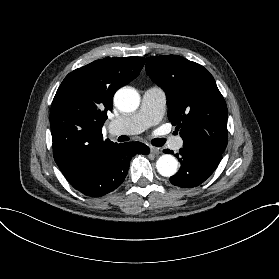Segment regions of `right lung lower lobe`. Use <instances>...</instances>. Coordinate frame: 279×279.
Returning <instances> with one entry per match:
<instances>
[{"label": "right lung lower lobe", "mask_w": 279, "mask_h": 279, "mask_svg": "<svg viewBox=\"0 0 279 279\" xmlns=\"http://www.w3.org/2000/svg\"><path fill=\"white\" fill-rule=\"evenodd\" d=\"M150 149L140 142L117 144L110 149L104 164L83 183L73 186L89 197L103 196L122 184L131 158L135 154H148Z\"/></svg>", "instance_id": "1"}]
</instances>
